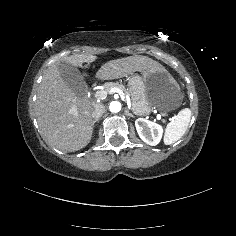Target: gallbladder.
Segmentation results:
<instances>
[{
  "instance_id": "gallbladder-1",
  "label": "gallbladder",
  "mask_w": 236,
  "mask_h": 236,
  "mask_svg": "<svg viewBox=\"0 0 236 236\" xmlns=\"http://www.w3.org/2000/svg\"><path fill=\"white\" fill-rule=\"evenodd\" d=\"M57 70L71 90L76 91L85 85L82 75L74 64L61 60L57 64Z\"/></svg>"
}]
</instances>
